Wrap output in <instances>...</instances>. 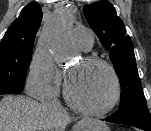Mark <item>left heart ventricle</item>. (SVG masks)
Here are the masks:
<instances>
[{"label": "left heart ventricle", "mask_w": 151, "mask_h": 131, "mask_svg": "<svg viewBox=\"0 0 151 131\" xmlns=\"http://www.w3.org/2000/svg\"><path fill=\"white\" fill-rule=\"evenodd\" d=\"M69 89L80 103L99 108L104 106L113 93V83L107 69L98 64L78 62L70 69Z\"/></svg>", "instance_id": "b2bd125f"}]
</instances>
